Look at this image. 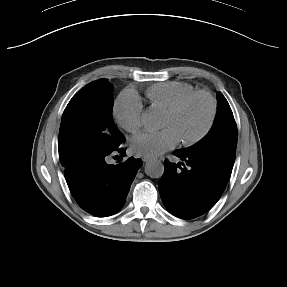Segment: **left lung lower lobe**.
I'll return each instance as SVG.
<instances>
[{
  "instance_id": "obj_1",
  "label": "left lung lower lobe",
  "mask_w": 287,
  "mask_h": 287,
  "mask_svg": "<svg viewBox=\"0 0 287 287\" xmlns=\"http://www.w3.org/2000/svg\"><path fill=\"white\" fill-rule=\"evenodd\" d=\"M174 154L187 167L165 160L164 174L159 180L161 199L173 215L182 219L196 218L214 206L228 179L198 154L184 150H175Z\"/></svg>"
}]
</instances>
